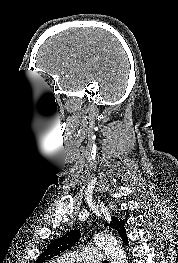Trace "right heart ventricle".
I'll list each match as a JSON object with an SVG mask.
<instances>
[{"label": "right heart ventricle", "mask_w": 178, "mask_h": 263, "mask_svg": "<svg viewBox=\"0 0 178 263\" xmlns=\"http://www.w3.org/2000/svg\"><path fill=\"white\" fill-rule=\"evenodd\" d=\"M53 263H59L58 260L54 261Z\"/></svg>", "instance_id": "e07e8e85"}]
</instances>
